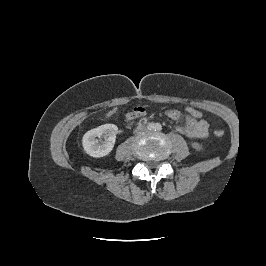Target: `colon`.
Listing matches in <instances>:
<instances>
[{"mask_svg": "<svg viewBox=\"0 0 266 266\" xmlns=\"http://www.w3.org/2000/svg\"><path fill=\"white\" fill-rule=\"evenodd\" d=\"M185 113L188 116H190V117H192L194 119H202V117H203V113L198 108H196L194 106H188V107H186L185 108ZM214 133H215V135L217 137H222L224 135V131L221 130V129L216 130Z\"/></svg>", "mask_w": 266, "mask_h": 266, "instance_id": "5ec220e1", "label": "colon"}]
</instances>
